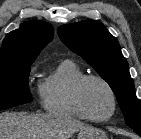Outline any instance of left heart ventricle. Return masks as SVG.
<instances>
[{"instance_id":"left-heart-ventricle-1","label":"left heart ventricle","mask_w":141,"mask_h":139,"mask_svg":"<svg viewBox=\"0 0 141 139\" xmlns=\"http://www.w3.org/2000/svg\"><path fill=\"white\" fill-rule=\"evenodd\" d=\"M83 102L88 113L95 118L108 116L112 109V100L107 88L92 80L83 89Z\"/></svg>"}]
</instances>
